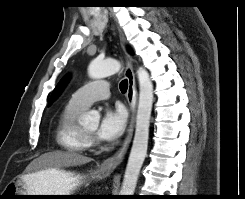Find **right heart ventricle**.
Segmentation results:
<instances>
[{
  "mask_svg": "<svg viewBox=\"0 0 245 199\" xmlns=\"http://www.w3.org/2000/svg\"><path fill=\"white\" fill-rule=\"evenodd\" d=\"M84 110L68 103L59 116L56 128L57 141L69 153H84L91 146L78 123V117Z\"/></svg>",
  "mask_w": 245,
  "mask_h": 199,
  "instance_id": "right-heart-ventricle-1",
  "label": "right heart ventricle"
}]
</instances>
